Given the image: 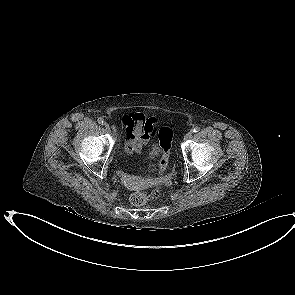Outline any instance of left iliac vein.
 <instances>
[{"mask_svg":"<svg viewBox=\"0 0 295 295\" xmlns=\"http://www.w3.org/2000/svg\"><path fill=\"white\" fill-rule=\"evenodd\" d=\"M192 137V131H189L188 133H186V135L184 136L185 140H188Z\"/></svg>","mask_w":295,"mask_h":295,"instance_id":"1","label":"left iliac vein"}]
</instances>
